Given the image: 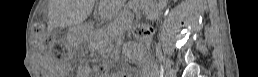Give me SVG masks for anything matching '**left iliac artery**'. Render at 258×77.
Instances as JSON below:
<instances>
[{
    "label": "left iliac artery",
    "mask_w": 258,
    "mask_h": 77,
    "mask_svg": "<svg viewBox=\"0 0 258 77\" xmlns=\"http://www.w3.org/2000/svg\"><path fill=\"white\" fill-rule=\"evenodd\" d=\"M157 53H158V55H159V53H160V50H158V49H157ZM160 60H161V58H160Z\"/></svg>",
    "instance_id": "44dca946"
}]
</instances>
